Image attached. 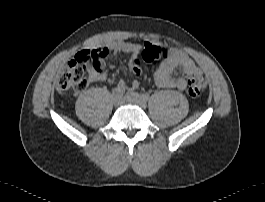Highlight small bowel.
Segmentation results:
<instances>
[{"label":"small bowel","mask_w":265,"mask_h":202,"mask_svg":"<svg viewBox=\"0 0 265 202\" xmlns=\"http://www.w3.org/2000/svg\"><path fill=\"white\" fill-rule=\"evenodd\" d=\"M149 45L146 42L144 45H138L131 42H118L116 44L103 47V50L108 52V55L99 58V67L92 68L89 73V80L92 82L101 81L105 78L108 68H112L113 65H106L107 58L116 52L123 53H135L141 50L142 48ZM180 68L182 70V75L176 78L173 77L174 71ZM132 71V64L130 65ZM201 75L202 72L196 63L183 51L172 50L171 55L168 60L163 62L154 74V81L157 86L162 88L174 87L180 90H185L188 84V79L192 75ZM117 86L126 87L123 80L119 81ZM139 86L137 81H134L131 85V88L136 89Z\"/></svg>","instance_id":"obj_1"}]
</instances>
